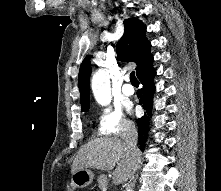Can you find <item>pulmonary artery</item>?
<instances>
[{
    "instance_id": "e3ab8cb5",
    "label": "pulmonary artery",
    "mask_w": 221,
    "mask_h": 191,
    "mask_svg": "<svg viewBox=\"0 0 221 191\" xmlns=\"http://www.w3.org/2000/svg\"><path fill=\"white\" fill-rule=\"evenodd\" d=\"M122 92L126 96H132L134 94V88L132 85L126 83L122 87Z\"/></svg>"
}]
</instances>
